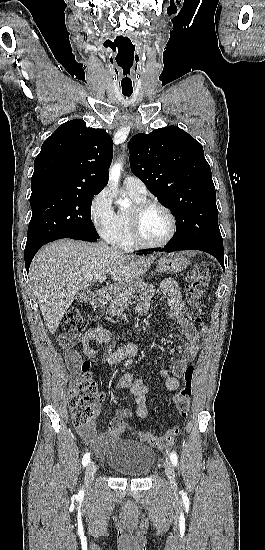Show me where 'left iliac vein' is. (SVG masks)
I'll return each instance as SVG.
<instances>
[{"mask_svg": "<svg viewBox=\"0 0 265 550\" xmlns=\"http://www.w3.org/2000/svg\"><path fill=\"white\" fill-rule=\"evenodd\" d=\"M165 473H166V476H167L170 484L172 486H174L175 485V473H174V468H173V466L170 462H167L165 464Z\"/></svg>", "mask_w": 265, "mask_h": 550, "instance_id": "obj_1", "label": "left iliac vein"}]
</instances>
